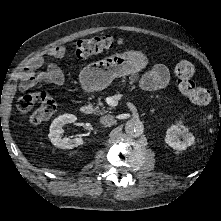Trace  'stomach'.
<instances>
[{
	"label": "stomach",
	"instance_id": "0dacf381",
	"mask_svg": "<svg viewBox=\"0 0 221 221\" xmlns=\"http://www.w3.org/2000/svg\"><path fill=\"white\" fill-rule=\"evenodd\" d=\"M147 64L146 55L140 51L115 53L84 67L80 72L79 81L86 91H100L108 87L117 77L136 75Z\"/></svg>",
	"mask_w": 221,
	"mask_h": 221
}]
</instances>
